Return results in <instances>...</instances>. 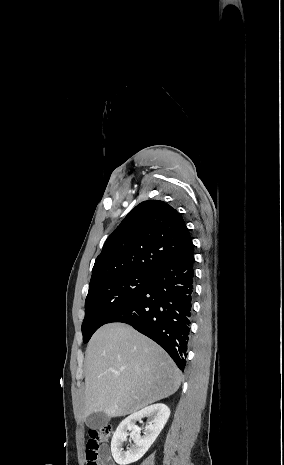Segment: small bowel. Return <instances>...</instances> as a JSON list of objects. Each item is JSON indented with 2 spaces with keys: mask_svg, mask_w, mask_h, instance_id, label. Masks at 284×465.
I'll return each mask as SVG.
<instances>
[{
  "mask_svg": "<svg viewBox=\"0 0 284 465\" xmlns=\"http://www.w3.org/2000/svg\"><path fill=\"white\" fill-rule=\"evenodd\" d=\"M110 459H111V458H110V456H109V455H106V456H104V460H106L107 462H109V461H110Z\"/></svg>",
  "mask_w": 284,
  "mask_h": 465,
  "instance_id": "small-bowel-1",
  "label": "small bowel"
}]
</instances>
